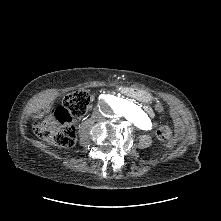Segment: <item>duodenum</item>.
I'll return each instance as SVG.
<instances>
[{"instance_id":"obj_1","label":"duodenum","mask_w":221,"mask_h":221,"mask_svg":"<svg viewBox=\"0 0 221 221\" xmlns=\"http://www.w3.org/2000/svg\"><path fill=\"white\" fill-rule=\"evenodd\" d=\"M126 92H130L128 89H124Z\"/></svg>"}]
</instances>
